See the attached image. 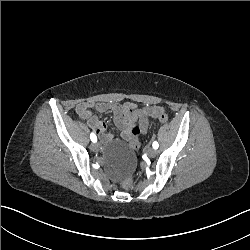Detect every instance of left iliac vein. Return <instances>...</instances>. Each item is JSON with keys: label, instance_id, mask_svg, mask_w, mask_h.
<instances>
[{"label": "left iliac vein", "instance_id": "4c4485c4", "mask_svg": "<svg viewBox=\"0 0 250 250\" xmlns=\"http://www.w3.org/2000/svg\"><path fill=\"white\" fill-rule=\"evenodd\" d=\"M147 154H148L149 157H154L157 154V150L154 149V148H148L147 149Z\"/></svg>", "mask_w": 250, "mask_h": 250}]
</instances>
